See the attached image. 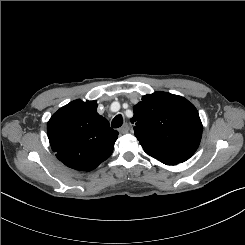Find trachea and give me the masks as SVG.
<instances>
[{"label": "trachea", "instance_id": "obj_1", "mask_svg": "<svg viewBox=\"0 0 245 245\" xmlns=\"http://www.w3.org/2000/svg\"><path fill=\"white\" fill-rule=\"evenodd\" d=\"M123 124V118L121 114H118L117 116L114 117V119L111 122V126L113 128H119Z\"/></svg>", "mask_w": 245, "mask_h": 245}]
</instances>
